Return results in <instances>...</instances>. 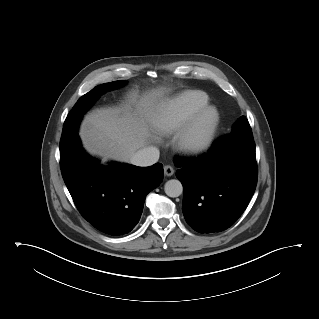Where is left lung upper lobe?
Returning a JSON list of instances; mask_svg holds the SVG:
<instances>
[{
	"mask_svg": "<svg viewBox=\"0 0 319 319\" xmlns=\"http://www.w3.org/2000/svg\"><path fill=\"white\" fill-rule=\"evenodd\" d=\"M229 136H239V137L253 139L249 122L244 116H242L241 118L237 120Z\"/></svg>",
	"mask_w": 319,
	"mask_h": 319,
	"instance_id": "1",
	"label": "left lung upper lobe"
}]
</instances>
